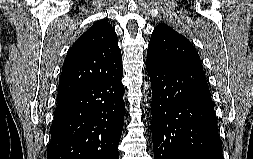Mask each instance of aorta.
Returning a JSON list of instances; mask_svg holds the SVG:
<instances>
[{
	"instance_id": "1",
	"label": "aorta",
	"mask_w": 253,
	"mask_h": 159,
	"mask_svg": "<svg viewBox=\"0 0 253 159\" xmlns=\"http://www.w3.org/2000/svg\"><path fill=\"white\" fill-rule=\"evenodd\" d=\"M145 88L147 89V88H148V85H146Z\"/></svg>"
}]
</instances>
